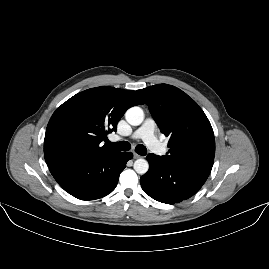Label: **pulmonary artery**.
Returning <instances> with one entry per match:
<instances>
[{"instance_id": "e3ab8cb5", "label": "pulmonary artery", "mask_w": 269, "mask_h": 269, "mask_svg": "<svg viewBox=\"0 0 269 269\" xmlns=\"http://www.w3.org/2000/svg\"><path fill=\"white\" fill-rule=\"evenodd\" d=\"M132 139L142 140L145 145L152 149L159 157H164L167 154V149L158 144L157 125L152 118H147L144 123L131 134Z\"/></svg>"}]
</instances>
